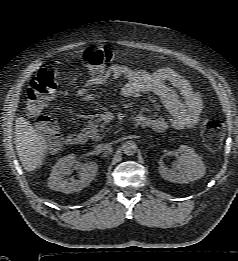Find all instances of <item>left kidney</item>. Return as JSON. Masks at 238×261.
<instances>
[{
  "mask_svg": "<svg viewBox=\"0 0 238 261\" xmlns=\"http://www.w3.org/2000/svg\"><path fill=\"white\" fill-rule=\"evenodd\" d=\"M179 157L174 164L173 169H168L163 163L159 166L160 175L167 181L173 183L186 184L202 178L206 168L201 157H199L193 148L187 145H181L178 148Z\"/></svg>",
  "mask_w": 238,
  "mask_h": 261,
  "instance_id": "left-kidney-1",
  "label": "left kidney"
}]
</instances>
